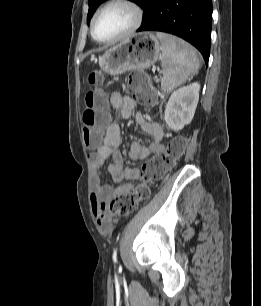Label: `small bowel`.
I'll list each match as a JSON object with an SVG mask.
<instances>
[{
    "instance_id": "small-bowel-1",
    "label": "small bowel",
    "mask_w": 261,
    "mask_h": 306,
    "mask_svg": "<svg viewBox=\"0 0 261 306\" xmlns=\"http://www.w3.org/2000/svg\"><path fill=\"white\" fill-rule=\"evenodd\" d=\"M110 104L113 108L120 110L123 118H132L144 134L152 137V141L148 145H143L138 141L132 142L129 152L131 160H144L150 154L163 149V132L161 127L157 123L146 120L141 113H135V103L131 97L114 91L110 95ZM120 144V127L117 123H112L106 129L103 144L94 153L89 155L92 186L90 194L91 209L98 226L106 233L112 231L108 212L109 202L114 197L131 191L134 188V184L131 181L136 180L139 174L137 168L124 166ZM108 159H112V162L108 165V172L113 182L117 184L124 180L130 182L113 187L103 181L101 168Z\"/></svg>"
}]
</instances>
